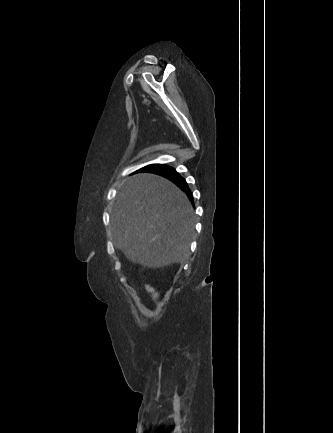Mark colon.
<instances>
[{
	"mask_svg": "<svg viewBox=\"0 0 333 433\" xmlns=\"http://www.w3.org/2000/svg\"><path fill=\"white\" fill-rule=\"evenodd\" d=\"M149 290H150V292H152L154 294V297L157 298V294L152 289H149Z\"/></svg>",
	"mask_w": 333,
	"mask_h": 433,
	"instance_id": "obj_1",
	"label": "colon"
}]
</instances>
